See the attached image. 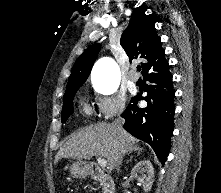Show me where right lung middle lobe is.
Masks as SVG:
<instances>
[{
    "mask_svg": "<svg viewBox=\"0 0 221 193\" xmlns=\"http://www.w3.org/2000/svg\"><path fill=\"white\" fill-rule=\"evenodd\" d=\"M81 85H75L72 87H67L63 99V109H62V123H64L68 117L73 113V98Z\"/></svg>",
    "mask_w": 221,
    "mask_h": 193,
    "instance_id": "obj_1",
    "label": "right lung middle lobe"
}]
</instances>
